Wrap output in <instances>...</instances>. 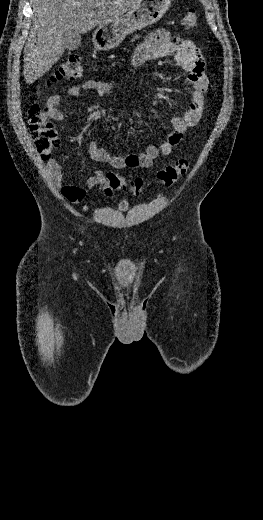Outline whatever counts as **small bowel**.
<instances>
[{"label":"small bowel","mask_w":263,"mask_h":520,"mask_svg":"<svg viewBox=\"0 0 263 520\" xmlns=\"http://www.w3.org/2000/svg\"><path fill=\"white\" fill-rule=\"evenodd\" d=\"M168 57L174 60L177 67L188 73L187 83L192 87V95L185 112L172 119V131L166 140L159 146L149 145L144 152L127 156H111L106 149L99 147L96 141H90L87 149L95 161L109 164L115 169L149 168L158 157L169 155L182 141L184 133L199 122L205 106L209 80L205 74L203 57L192 41L174 36L166 30L152 32L133 51L130 66L134 68L148 61ZM113 88L114 85L110 82L86 80L82 84L67 88L65 93L73 97H78L86 91L104 95L110 93ZM60 103L59 94L47 98L48 119L62 121L67 118L59 108ZM47 169L61 194L72 203L81 202L86 196V189L94 188L103 182L105 176L102 171L97 170L86 179L85 187H81L67 183L63 170L55 159L48 160Z\"/></svg>","instance_id":"obj_1"}]
</instances>
